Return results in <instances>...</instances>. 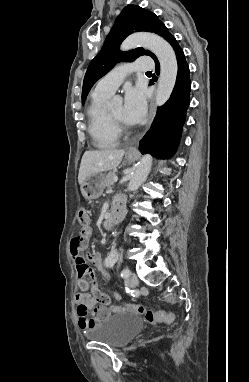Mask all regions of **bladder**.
Instances as JSON below:
<instances>
[{"instance_id":"obj_1","label":"bladder","mask_w":249,"mask_h":382,"mask_svg":"<svg viewBox=\"0 0 249 382\" xmlns=\"http://www.w3.org/2000/svg\"><path fill=\"white\" fill-rule=\"evenodd\" d=\"M143 327V319L136 313L113 314L90 328L86 337L110 347H120L138 335Z\"/></svg>"}]
</instances>
